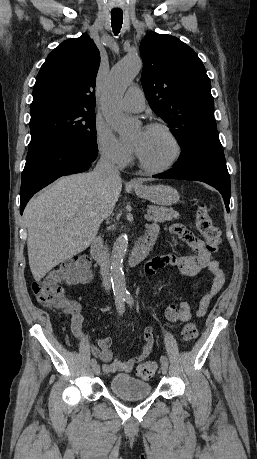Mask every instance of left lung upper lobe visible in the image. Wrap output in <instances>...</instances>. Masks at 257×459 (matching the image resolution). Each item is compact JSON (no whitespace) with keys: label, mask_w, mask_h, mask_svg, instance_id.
Masks as SVG:
<instances>
[{"label":"left lung upper lobe","mask_w":257,"mask_h":459,"mask_svg":"<svg viewBox=\"0 0 257 459\" xmlns=\"http://www.w3.org/2000/svg\"><path fill=\"white\" fill-rule=\"evenodd\" d=\"M140 53L141 84L149 105L171 127L182 157L189 156L200 132L216 128L206 69L192 48L170 35L147 34Z\"/></svg>","instance_id":"left-lung-upper-lobe-1"}]
</instances>
